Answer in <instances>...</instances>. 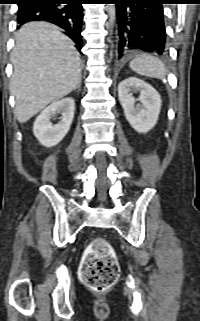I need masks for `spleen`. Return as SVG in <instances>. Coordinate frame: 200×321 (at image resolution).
Wrapping results in <instances>:
<instances>
[{
	"instance_id": "spleen-1",
	"label": "spleen",
	"mask_w": 200,
	"mask_h": 321,
	"mask_svg": "<svg viewBox=\"0 0 200 321\" xmlns=\"http://www.w3.org/2000/svg\"><path fill=\"white\" fill-rule=\"evenodd\" d=\"M129 67L139 75L163 79L167 75L164 63L157 57L142 54L134 58Z\"/></svg>"
}]
</instances>
